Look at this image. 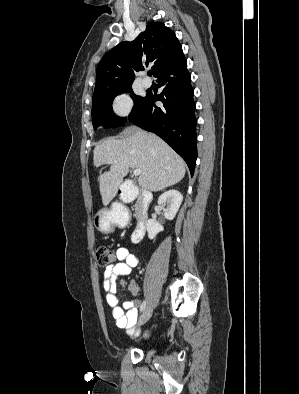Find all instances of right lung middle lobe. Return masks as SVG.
<instances>
[{"label": "right lung middle lobe", "instance_id": "dd1d6c3e", "mask_svg": "<svg viewBox=\"0 0 299 394\" xmlns=\"http://www.w3.org/2000/svg\"><path fill=\"white\" fill-rule=\"evenodd\" d=\"M122 93H131L130 96L134 100V107L130 115L139 108L145 99V97L135 95L131 85L95 92L92 100V123L95 129L98 126L119 127L125 123L127 118L116 116L112 110L113 99Z\"/></svg>", "mask_w": 299, "mask_h": 394}]
</instances>
